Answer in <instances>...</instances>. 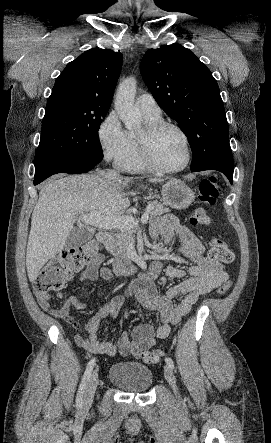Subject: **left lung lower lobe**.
Instances as JSON below:
<instances>
[{"instance_id": "obj_1", "label": "left lung lower lobe", "mask_w": 271, "mask_h": 443, "mask_svg": "<svg viewBox=\"0 0 271 443\" xmlns=\"http://www.w3.org/2000/svg\"><path fill=\"white\" fill-rule=\"evenodd\" d=\"M217 170L220 171L222 173H224L227 177H230V181L232 183V179H233V171H229V170H225L222 169L220 167H216V166H204V167H200V168H195V169H191V171H203V170Z\"/></svg>"}]
</instances>
